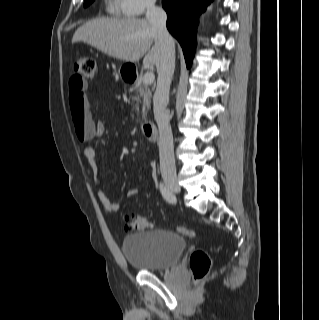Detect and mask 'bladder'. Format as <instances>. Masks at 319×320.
<instances>
[{"instance_id": "bladder-1", "label": "bladder", "mask_w": 319, "mask_h": 320, "mask_svg": "<svg viewBox=\"0 0 319 320\" xmlns=\"http://www.w3.org/2000/svg\"><path fill=\"white\" fill-rule=\"evenodd\" d=\"M187 247L175 231L155 229L124 238L122 251L128 263L141 271H164L175 266Z\"/></svg>"}]
</instances>
